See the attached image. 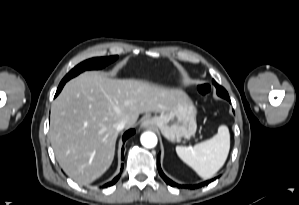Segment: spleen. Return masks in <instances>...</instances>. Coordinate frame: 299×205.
I'll return each mask as SVG.
<instances>
[{"mask_svg":"<svg viewBox=\"0 0 299 205\" xmlns=\"http://www.w3.org/2000/svg\"><path fill=\"white\" fill-rule=\"evenodd\" d=\"M229 150L230 133L226 125L219 126L216 135L194 147H176L179 158L204 179L213 177L222 168Z\"/></svg>","mask_w":299,"mask_h":205,"instance_id":"obj_1","label":"spleen"}]
</instances>
